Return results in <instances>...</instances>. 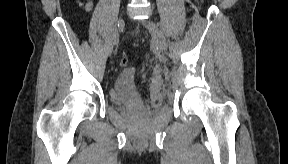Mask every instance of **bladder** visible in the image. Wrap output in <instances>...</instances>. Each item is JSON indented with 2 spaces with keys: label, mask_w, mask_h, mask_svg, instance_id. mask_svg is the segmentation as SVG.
<instances>
[{
  "label": "bladder",
  "mask_w": 288,
  "mask_h": 164,
  "mask_svg": "<svg viewBox=\"0 0 288 164\" xmlns=\"http://www.w3.org/2000/svg\"><path fill=\"white\" fill-rule=\"evenodd\" d=\"M110 99L113 104L122 107H136L143 103L132 69L125 68L118 72L110 90Z\"/></svg>",
  "instance_id": "obj_1"
}]
</instances>
